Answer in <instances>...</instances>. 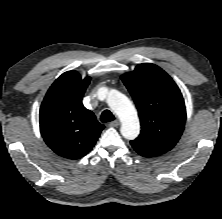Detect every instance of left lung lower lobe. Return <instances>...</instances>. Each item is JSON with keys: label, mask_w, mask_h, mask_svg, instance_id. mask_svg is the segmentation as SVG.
Segmentation results:
<instances>
[{"label": "left lung lower lobe", "mask_w": 222, "mask_h": 219, "mask_svg": "<svg viewBox=\"0 0 222 219\" xmlns=\"http://www.w3.org/2000/svg\"><path fill=\"white\" fill-rule=\"evenodd\" d=\"M134 150L144 157H154L166 153V150L159 149L156 147H149L133 141L130 142Z\"/></svg>", "instance_id": "0a47b994"}]
</instances>
